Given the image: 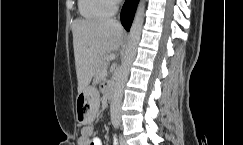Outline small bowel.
<instances>
[{
    "label": "small bowel",
    "instance_id": "small-bowel-1",
    "mask_svg": "<svg viewBox=\"0 0 243 145\" xmlns=\"http://www.w3.org/2000/svg\"><path fill=\"white\" fill-rule=\"evenodd\" d=\"M78 145H102V140L99 137L93 136L92 128L84 127L81 130Z\"/></svg>",
    "mask_w": 243,
    "mask_h": 145
}]
</instances>
